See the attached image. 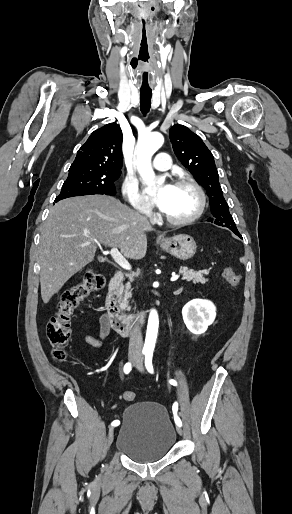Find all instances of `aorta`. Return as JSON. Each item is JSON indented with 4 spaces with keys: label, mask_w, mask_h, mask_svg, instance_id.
Returning <instances> with one entry per match:
<instances>
[{
    "label": "aorta",
    "mask_w": 292,
    "mask_h": 514,
    "mask_svg": "<svg viewBox=\"0 0 292 514\" xmlns=\"http://www.w3.org/2000/svg\"><path fill=\"white\" fill-rule=\"evenodd\" d=\"M164 144V138L162 134H158V132H152V134H145V136H141L138 140V144L136 146L137 156H138V174L141 176L144 182H154L155 174L153 172V168L151 166V158L161 146ZM163 180H159V184H163ZM158 314L156 310H151L148 326H147V334L145 340V348H154L155 342L157 340L158 334Z\"/></svg>",
    "instance_id": "aorta-1"
}]
</instances>
